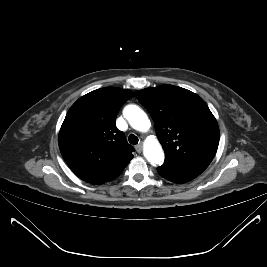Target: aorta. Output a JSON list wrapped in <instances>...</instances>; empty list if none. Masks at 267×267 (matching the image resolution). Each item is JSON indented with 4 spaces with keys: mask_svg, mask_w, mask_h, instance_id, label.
I'll return each instance as SVG.
<instances>
[{
    "mask_svg": "<svg viewBox=\"0 0 267 267\" xmlns=\"http://www.w3.org/2000/svg\"><path fill=\"white\" fill-rule=\"evenodd\" d=\"M124 118L129 122L130 126L140 132H146L150 128V120L147 114L137 105H127L123 110ZM145 158L152 164H162L164 161V153L159 141L154 138L146 139L143 150Z\"/></svg>",
    "mask_w": 267,
    "mask_h": 267,
    "instance_id": "762f6f07",
    "label": "aorta"
}]
</instances>
